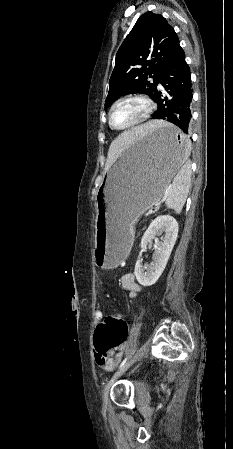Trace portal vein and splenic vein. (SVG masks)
Listing matches in <instances>:
<instances>
[{
    "label": "portal vein and splenic vein",
    "instance_id": "obj_1",
    "mask_svg": "<svg viewBox=\"0 0 233 449\" xmlns=\"http://www.w3.org/2000/svg\"><path fill=\"white\" fill-rule=\"evenodd\" d=\"M154 212V210L153 209H150L149 211H148V214H152Z\"/></svg>",
    "mask_w": 233,
    "mask_h": 449
}]
</instances>
